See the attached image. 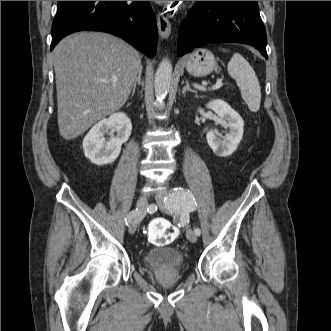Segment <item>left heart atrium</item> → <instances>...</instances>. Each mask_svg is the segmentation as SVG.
I'll use <instances>...</instances> for the list:
<instances>
[{"label":"left heart atrium","mask_w":331,"mask_h":331,"mask_svg":"<svg viewBox=\"0 0 331 331\" xmlns=\"http://www.w3.org/2000/svg\"><path fill=\"white\" fill-rule=\"evenodd\" d=\"M157 2H159V3H166V2H168V1H157Z\"/></svg>","instance_id":"obj_1"}]
</instances>
